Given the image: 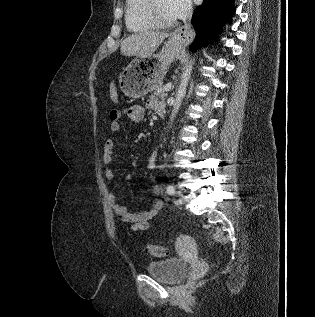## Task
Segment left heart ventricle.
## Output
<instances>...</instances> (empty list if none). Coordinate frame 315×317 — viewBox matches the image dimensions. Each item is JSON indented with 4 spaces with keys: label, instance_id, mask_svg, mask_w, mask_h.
<instances>
[{
    "label": "left heart ventricle",
    "instance_id": "b2bd125f",
    "mask_svg": "<svg viewBox=\"0 0 315 317\" xmlns=\"http://www.w3.org/2000/svg\"><path fill=\"white\" fill-rule=\"evenodd\" d=\"M156 7L162 20L173 21L176 19L169 9L168 0H156Z\"/></svg>",
    "mask_w": 315,
    "mask_h": 317
}]
</instances>
